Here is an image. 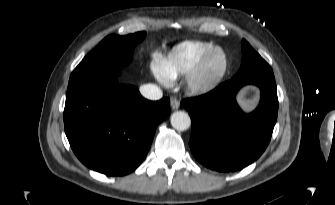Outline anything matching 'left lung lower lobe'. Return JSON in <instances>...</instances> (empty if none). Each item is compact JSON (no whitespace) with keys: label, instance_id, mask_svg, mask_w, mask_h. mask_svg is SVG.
I'll list each match as a JSON object with an SVG mask.
<instances>
[{"label":"left lung lower lobe","instance_id":"obj_1","mask_svg":"<svg viewBox=\"0 0 335 205\" xmlns=\"http://www.w3.org/2000/svg\"><path fill=\"white\" fill-rule=\"evenodd\" d=\"M248 84L261 90L257 109L243 113L235 95ZM192 120L189 146L198 162L218 172H234L253 163L268 146L277 121L275 80L249 77L226 81L211 92L184 99Z\"/></svg>","mask_w":335,"mask_h":205}]
</instances>
